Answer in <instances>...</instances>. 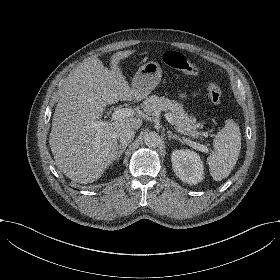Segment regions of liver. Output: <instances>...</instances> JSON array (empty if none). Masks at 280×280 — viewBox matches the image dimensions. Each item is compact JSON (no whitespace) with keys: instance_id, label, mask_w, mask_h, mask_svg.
Returning a JSON list of instances; mask_svg holds the SVG:
<instances>
[{"instance_id":"1","label":"liver","mask_w":280,"mask_h":280,"mask_svg":"<svg viewBox=\"0 0 280 280\" xmlns=\"http://www.w3.org/2000/svg\"><path fill=\"white\" fill-rule=\"evenodd\" d=\"M129 53L118 52L114 63ZM145 97L140 90L130 89L116 69L110 71L97 58L71 72L64 80L50 133L58 168L79 183H92L101 177L117 151V132L139 129L142 124L135 117L102 122L103 108L118 100L139 102Z\"/></svg>"}]
</instances>
